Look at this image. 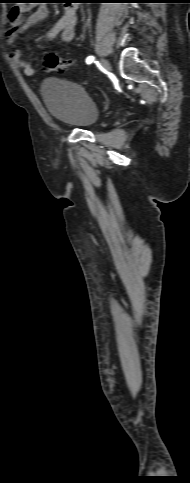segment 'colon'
Here are the masks:
<instances>
[{"mask_svg": "<svg viewBox=\"0 0 190 483\" xmlns=\"http://www.w3.org/2000/svg\"><path fill=\"white\" fill-rule=\"evenodd\" d=\"M42 63L46 70L52 72H62L72 65L70 60L63 59L54 53L44 54Z\"/></svg>", "mask_w": 190, "mask_h": 483, "instance_id": "obj_1", "label": "colon"}]
</instances>
